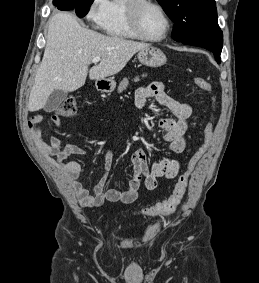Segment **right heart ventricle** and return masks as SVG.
Segmentation results:
<instances>
[{"mask_svg": "<svg viewBox=\"0 0 259 283\" xmlns=\"http://www.w3.org/2000/svg\"><path fill=\"white\" fill-rule=\"evenodd\" d=\"M129 0H110L101 29L109 36L121 39H136L127 13Z\"/></svg>", "mask_w": 259, "mask_h": 283, "instance_id": "obj_1", "label": "right heart ventricle"}]
</instances>
